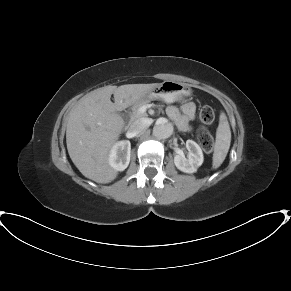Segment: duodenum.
Listing matches in <instances>:
<instances>
[{
  "label": "duodenum",
  "instance_id": "duodenum-1",
  "mask_svg": "<svg viewBox=\"0 0 291 291\" xmlns=\"http://www.w3.org/2000/svg\"><path fill=\"white\" fill-rule=\"evenodd\" d=\"M121 112H122L121 109H117V110L115 111V117H116L117 119H119V118L121 117Z\"/></svg>",
  "mask_w": 291,
  "mask_h": 291
}]
</instances>
